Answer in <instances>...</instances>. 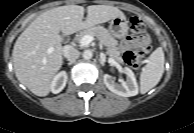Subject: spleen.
<instances>
[{
  "mask_svg": "<svg viewBox=\"0 0 194 133\" xmlns=\"http://www.w3.org/2000/svg\"><path fill=\"white\" fill-rule=\"evenodd\" d=\"M164 52L161 47L151 53L148 63L143 67L140 74V92L145 94L155 87L164 72Z\"/></svg>",
  "mask_w": 194,
  "mask_h": 133,
  "instance_id": "1",
  "label": "spleen"
}]
</instances>
